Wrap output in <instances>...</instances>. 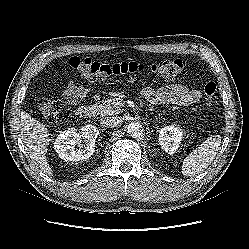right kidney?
<instances>
[{
	"label": "right kidney",
	"mask_w": 249,
	"mask_h": 249,
	"mask_svg": "<svg viewBox=\"0 0 249 249\" xmlns=\"http://www.w3.org/2000/svg\"><path fill=\"white\" fill-rule=\"evenodd\" d=\"M99 135V130L94 125L88 124L76 130L70 128L62 132L55 140L54 147L59 157L64 161H82L91 157L95 150V142ZM85 139L82 148L75 146Z\"/></svg>",
	"instance_id": "right-kidney-1"
}]
</instances>
